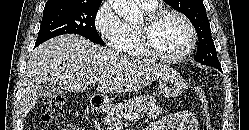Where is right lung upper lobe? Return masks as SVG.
I'll list each match as a JSON object with an SVG mask.
<instances>
[{
  "instance_id": "right-lung-upper-lobe-1",
  "label": "right lung upper lobe",
  "mask_w": 249,
  "mask_h": 130,
  "mask_svg": "<svg viewBox=\"0 0 249 130\" xmlns=\"http://www.w3.org/2000/svg\"><path fill=\"white\" fill-rule=\"evenodd\" d=\"M58 1H72L77 3H101L102 0H48L45 5H49Z\"/></svg>"
}]
</instances>
